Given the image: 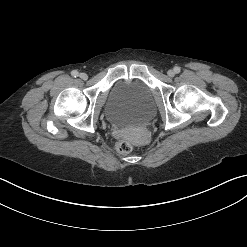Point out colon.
<instances>
[{
  "label": "colon",
  "instance_id": "5ec220e1",
  "mask_svg": "<svg viewBox=\"0 0 247 247\" xmlns=\"http://www.w3.org/2000/svg\"><path fill=\"white\" fill-rule=\"evenodd\" d=\"M117 152L120 154H128L133 149V144L129 140H123L117 144Z\"/></svg>",
  "mask_w": 247,
  "mask_h": 247
}]
</instances>
